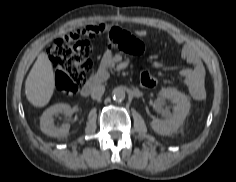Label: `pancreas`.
I'll use <instances>...</instances> for the list:
<instances>
[{"label":"pancreas","instance_id":"1","mask_svg":"<svg viewBox=\"0 0 236 182\" xmlns=\"http://www.w3.org/2000/svg\"><path fill=\"white\" fill-rule=\"evenodd\" d=\"M107 64H108L109 66H113V65H114V61H113L112 59H109V60L107 61Z\"/></svg>","mask_w":236,"mask_h":182}]
</instances>
